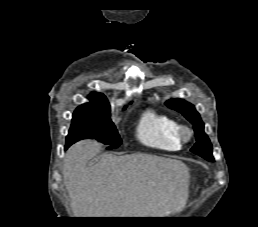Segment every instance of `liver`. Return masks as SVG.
Segmentation results:
<instances>
[{"mask_svg":"<svg viewBox=\"0 0 258 227\" xmlns=\"http://www.w3.org/2000/svg\"><path fill=\"white\" fill-rule=\"evenodd\" d=\"M100 144L72 145L62 169L76 217H165L181 212L188 198L190 174L179 160L148 154H104L87 163Z\"/></svg>","mask_w":258,"mask_h":227,"instance_id":"1","label":"liver"}]
</instances>
